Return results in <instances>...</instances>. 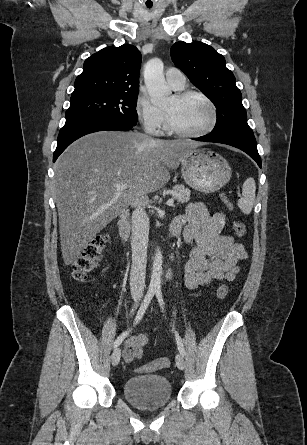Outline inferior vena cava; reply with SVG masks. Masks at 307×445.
Listing matches in <instances>:
<instances>
[{"instance_id":"inferior-vena-cava-1","label":"inferior vena cava","mask_w":307,"mask_h":445,"mask_svg":"<svg viewBox=\"0 0 307 445\" xmlns=\"http://www.w3.org/2000/svg\"><path fill=\"white\" fill-rule=\"evenodd\" d=\"M150 126L147 132H153ZM149 220L144 208H136L132 212V267L130 273V289L133 301L138 303L145 287V271L147 263V247Z\"/></svg>"}]
</instances>
